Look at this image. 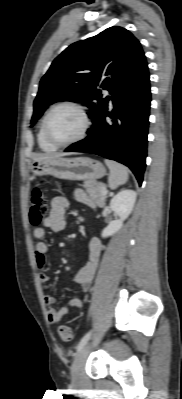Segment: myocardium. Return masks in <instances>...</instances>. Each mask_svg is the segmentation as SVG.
Listing matches in <instances>:
<instances>
[{
  "instance_id": "obj_1",
  "label": "myocardium",
  "mask_w": 182,
  "mask_h": 399,
  "mask_svg": "<svg viewBox=\"0 0 182 399\" xmlns=\"http://www.w3.org/2000/svg\"><path fill=\"white\" fill-rule=\"evenodd\" d=\"M63 107H69V108H73V109L77 110L82 117L83 126H82L80 133L76 137H74L73 139L68 140V141L60 142V141L55 140L51 136V134L49 132V120H50L51 115L56 110L63 108ZM90 126H91V120H90L89 114L87 113L86 109L81 104H79L77 102H72V101H64V102H60V103L54 105L47 112V114L45 115V118H44V122H43V132H44V136H45L46 140L50 144H52L55 147H65V146L75 144V143L81 141L82 139H84L90 129Z\"/></svg>"
}]
</instances>
